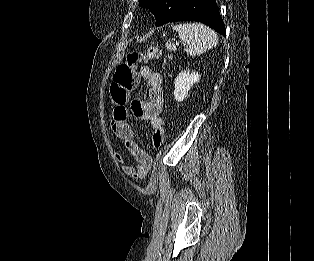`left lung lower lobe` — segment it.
I'll list each match as a JSON object with an SVG mask.
<instances>
[{
	"label": "left lung lower lobe",
	"instance_id": "0a47b994",
	"mask_svg": "<svg viewBox=\"0 0 314 261\" xmlns=\"http://www.w3.org/2000/svg\"><path fill=\"white\" fill-rule=\"evenodd\" d=\"M198 21L225 35V25L215 0H184L169 22Z\"/></svg>",
	"mask_w": 314,
	"mask_h": 261
}]
</instances>
